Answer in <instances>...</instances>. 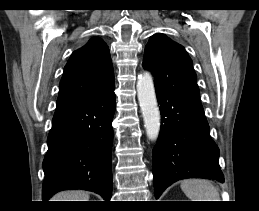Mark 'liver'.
<instances>
[{
    "instance_id": "1",
    "label": "liver",
    "mask_w": 259,
    "mask_h": 211,
    "mask_svg": "<svg viewBox=\"0 0 259 211\" xmlns=\"http://www.w3.org/2000/svg\"><path fill=\"white\" fill-rule=\"evenodd\" d=\"M53 201H89V195L83 191H66L56 194Z\"/></svg>"
}]
</instances>
